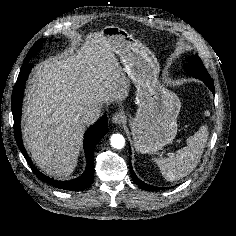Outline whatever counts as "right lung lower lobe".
<instances>
[{
  "label": "right lung lower lobe",
  "mask_w": 236,
  "mask_h": 236,
  "mask_svg": "<svg viewBox=\"0 0 236 236\" xmlns=\"http://www.w3.org/2000/svg\"><path fill=\"white\" fill-rule=\"evenodd\" d=\"M33 65L31 63L23 64L20 73L18 75L16 84L14 86L12 92V100L11 107L14 119V133L15 138L18 144L19 149L24 155L26 161L28 162L31 169L37 175V177L59 189L70 190V191H83L86 189L93 181L94 175V148L96 144L100 141V139L105 136L107 133V116H103L96 124H94L85 134L84 137V150L87 161V166L85 172L78 178L70 180V181H57L51 179L44 174H42L32 163L29 158L21 137V128H20V120H21V107H22V98L24 93V86Z\"/></svg>",
  "instance_id": "obj_1"
}]
</instances>
